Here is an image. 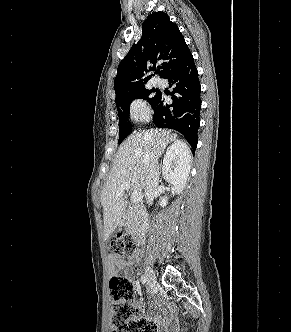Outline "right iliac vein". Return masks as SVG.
<instances>
[{
  "label": "right iliac vein",
  "mask_w": 291,
  "mask_h": 332,
  "mask_svg": "<svg viewBox=\"0 0 291 332\" xmlns=\"http://www.w3.org/2000/svg\"><path fill=\"white\" fill-rule=\"evenodd\" d=\"M145 275L147 278L148 285L151 289L156 286V276L153 269L149 266L146 267Z\"/></svg>",
  "instance_id": "right-iliac-vein-1"
}]
</instances>
